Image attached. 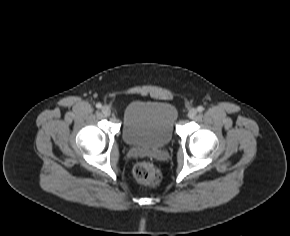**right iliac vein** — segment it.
<instances>
[{"instance_id": "63e3f726", "label": "right iliac vein", "mask_w": 290, "mask_h": 236, "mask_svg": "<svg viewBox=\"0 0 290 236\" xmlns=\"http://www.w3.org/2000/svg\"><path fill=\"white\" fill-rule=\"evenodd\" d=\"M101 111L104 116H109L111 114L110 108L106 105L101 108Z\"/></svg>"}]
</instances>
